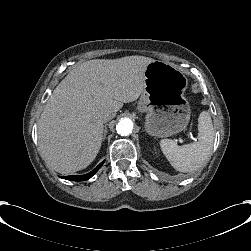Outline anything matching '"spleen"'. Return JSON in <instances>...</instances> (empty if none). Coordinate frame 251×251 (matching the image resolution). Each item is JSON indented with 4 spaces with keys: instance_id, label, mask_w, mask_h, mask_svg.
Wrapping results in <instances>:
<instances>
[{
    "instance_id": "spleen-1",
    "label": "spleen",
    "mask_w": 251,
    "mask_h": 251,
    "mask_svg": "<svg viewBox=\"0 0 251 251\" xmlns=\"http://www.w3.org/2000/svg\"><path fill=\"white\" fill-rule=\"evenodd\" d=\"M198 141L179 146L174 141L163 139L161 148L173 167L183 173L199 169L208 159L214 142V127L210 114L202 111L199 115Z\"/></svg>"
}]
</instances>
